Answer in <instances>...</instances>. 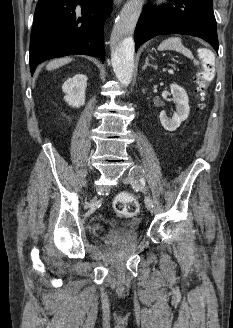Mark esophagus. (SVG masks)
<instances>
[{
	"mask_svg": "<svg viewBox=\"0 0 233 328\" xmlns=\"http://www.w3.org/2000/svg\"><path fill=\"white\" fill-rule=\"evenodd\" d=\"M123 0H114L115 4L119 5L122 3Z\"/></svg>",
	"mask_w": 233,
	"mask_h": 328,
	"instance_id": "esophagus-1",
	"label": "esophagus"
}]
</instances>
